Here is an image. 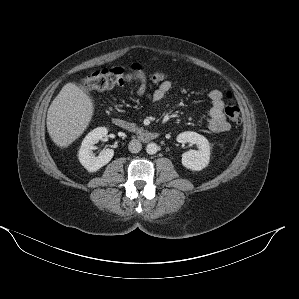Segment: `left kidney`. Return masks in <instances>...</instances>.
<instances>
[{"label":"left kidney","mask_w":299,"mask_h":299,"mask_svg":"<svg viewBox=\"0 0 299 299\" xmlns=\"http://www.w3.org/2000/svg\"><path fill=\"white\" fill-rule=\"evenodd\" d=\"M177 142L181 144H196L198 150H190L182 154V165L192 171H201L206 168L210 160V144L208 140L196 132L186 131L180 133Z\"/></svg>","instance_id":"1"}]
</instances>
